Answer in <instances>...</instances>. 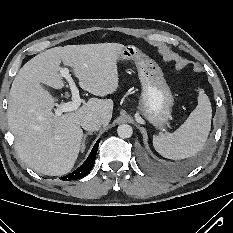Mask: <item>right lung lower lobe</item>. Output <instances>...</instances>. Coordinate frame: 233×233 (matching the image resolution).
Returning a JSON list of instances; mask_svg holds the SVG:
<instances>
[{"mask_svg":"<svg viewBox=\"0 0 233 233\" xmlns=\"http://www.w3.org/2000/svg\"><path fill=\"white\" fill-rule=\"evenodd\" d=\"M100 140H98L92 151L90 152L87 160L78 168L76 169L72 174H68L64 177H61L62 180L64 181H69V180H76L85 177L93 168L95 164V158H96V153L98 150Z\"/></svg>","mask_w":233,"mask_h":233,"instance_id":"1","label":"right lung lower lobe"}]
</instances>
